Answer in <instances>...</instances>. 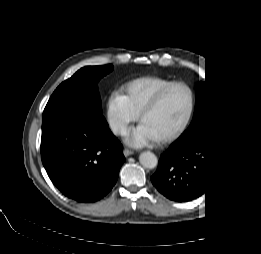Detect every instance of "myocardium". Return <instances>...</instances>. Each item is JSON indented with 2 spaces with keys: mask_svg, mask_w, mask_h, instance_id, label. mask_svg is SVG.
Here are the masks:
<instances>
[{
  "mask_svg": "<svg viewBox=\"0 0 261 254\" xmlns=\"http://www.w3.org/2000/svg\"><path fill=\"white\" fill-rule=\"evenodd\" d=\"M174 88H182L187 93L188 101L185 112L174 130L169 133L160 135L157 139L161 142H167L177 137L188 124L194 108V93L192 89L185 84H170L162 89L140 112V120L143 121L144 117L161 102V100Z\"/></svg>",
  "mask_w": 261,
  "mask_h": 254,
  "instance_id": "myocardium-1",
  "label": "myocardium"
}]
</instances>
